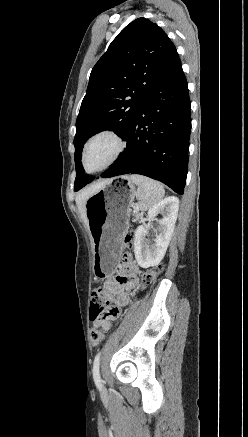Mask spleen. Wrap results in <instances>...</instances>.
<instances>
[{
  "instance_id": "1",
  "label": "spleen",
  "mask_w": 248,
  "mask_h": 437,
  "mask_svg": "<svg viewBox=\"0 0 248 437\" xmlns=\"http://www.w3.org/2000/svg\"><path fill=\"white\" fill-rule=\"evenodd\" d=\"M130 179L138 186L135 196L141 210H150L164 197L165 190L161 183L136 174L131 175Z\"/></svg>"
}]
</instances>
